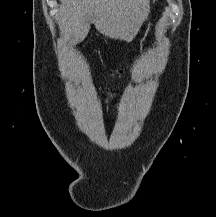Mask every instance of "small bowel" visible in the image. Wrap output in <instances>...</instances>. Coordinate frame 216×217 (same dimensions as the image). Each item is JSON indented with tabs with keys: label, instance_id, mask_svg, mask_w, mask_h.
Listing matches in <instances>:
<instances>
[{
	"label": "small bowel",
	"instance_id": "c3829d8e",
	"mask_svg": "<svg viewBox=\"0 0 216 217\" xmlns=\"http://www.w3.org/2000/svg\"><path fill=\"white\" fill-rule=\"evenodd\" d=\"M109 100H113V97L111 96V97H109ZM120 107H121V104L120 103H118L117 104V110H119L120 109Z\"/></svg>",
	"mask_w": 216,
	"mask_h": 217
}]
</instances>
